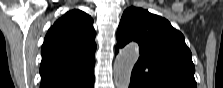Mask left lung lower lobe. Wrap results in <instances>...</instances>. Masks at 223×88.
<instances>
[{
  "instance_id": "left-lung-lower-lobe-1",
  "label": "left lung lower lobe",
  "mask_w": 223,
  "mask_h": 88,
  "mask_svg": "<svg viewBox=\"0 0 223 88\" xmlns=\"http://www.w3.org/2000/svg\"><path fill=\"white\" fill-rule=\"evenodd\" d=\"M129 88H142L141 85H139L135 80L131 78L130 86Z\"/></svg>"
}]
</instances>
